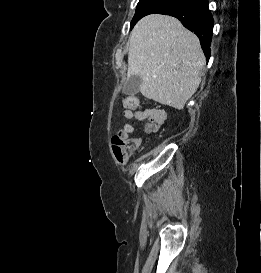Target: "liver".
Returning a JSON list of instances; mask_svg holds the SVG:
<instances>
[{
  "label": "liver",
  "mask_w": 261,
  "mask_h": 273,
  "mask_svg": "<svg viewBox=\"0 0 261 273\" xmlns=\"http://www.w3.org/2000/svg\"><path fill=\"white\" fill-rule=\"evenodd\" d=\"M205 64L198 37L174 17L147 15L131 32L127 77L142 79L139 90L148 99L183 109Z\"/></svg>",
  "instance_id": "1"
}]
</instances>
